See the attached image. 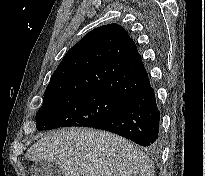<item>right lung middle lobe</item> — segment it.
I'll return each mask as SVG.
<instances>
[{"instance_id":"dd1d6c3e","label":"right lung middle lobe","mask_w":205,"mask_h":176,"mask_svg":"<svg viewBox=\"0 0 205 176\" xmlns=\"http://www.w3.org/2000/svg\"><path fill=\"white\" fill-rule=\"evenodd\" d=\"M125 99L103 90L44 96L43 105L36 114L37 129L95 127L109 118Z\"/></svg>"}]
</instances>
